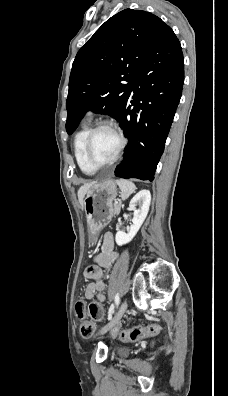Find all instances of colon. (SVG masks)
Wrapping results in <instances>:
<instances>
[{
	"mask_svg": "<svg viewBox=\"0 0 228 396\" xmlns=\"http://www.w3.org/2000/svg\"><path fill=\"white\" fill-rule=\"evenodd\" d=\"M89 314L93 320H100L103 317V309L101 305L97 303H91L86 308L83 301H79L76 304V314L81 321L80 333L83 337H90L94 332V325L91 320L86 318V314ZM159 331V326L151 324L148 326H137L131 329L123 330L120 332L119 337L123 341H136L141 338L153 336Z\"/></svg>",
	"mask_w": 228,
	"mask_h": 396,
	"instance_id": "1",
	"label": "colon"
}]
</instances>
